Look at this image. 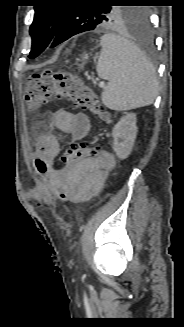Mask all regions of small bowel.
<instances>
[{"label":"small bowel","mask_w":184,"mask_h":327,"mask_svg":"<svg viewBox=\"0 0 184 327\" xmlns=\"http://www.w3.org/2000/svg\"><path fill=\"white\" fill-rule=\"evenodd\" d=\"M53 131L70 134L74 141L90 136L91 124L88 117L79 112L66 109L56 111L49 123V131L38 140L35 165H53L57 161L56 184L48 182V186H65L70 201L79 202L98 194L108 173L115 167V157L108 150H102L96 157L94 153H61L60 141ZM40 153L48 154L47 163L39 159ZM79 160H87L79 164ZM44 173V172H40ZM47 187L45 184L42 186ZM28 195L34 199V206H44L45 200L50 199V192L42 188H28Z\"/></svg>","instance_id":"c3829d8e"}]
</instances>
